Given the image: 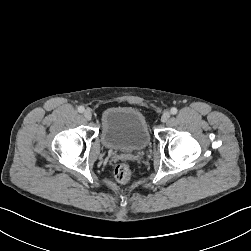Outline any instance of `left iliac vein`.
<instances>
[{
	"mask_svg": "<svg viewBox=\"0 0 251 251\" xmlns=\"http://www.w3.org/2000/svg\"><path fill=\"white\" fill-rule=\"evenodd\" d=\"M169 118H170V112L165 111L161 116V121L165 123L169 120Z\"/></svg>",
	"mask_w": 251,
	"mask_h": 251,
	"instance_id": "4c4485c4",
	"label": "left iliac vein"
}]
</instances>
